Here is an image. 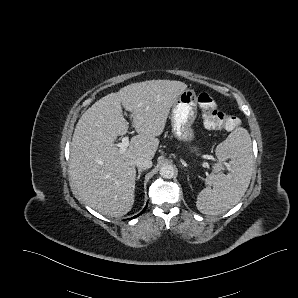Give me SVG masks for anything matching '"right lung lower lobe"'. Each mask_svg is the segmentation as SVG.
Masks as SVG:
<instances>
[{
	"instance_id": "98d812e1",
	"label": "right lung lower lobe",
	"mask_w": 298,
	"mask_h": 298,
	"mask_svg": "<svg viewBox=\"0 0 298 298\" xmlns=\"http://www.w3.org/2000/svg\"><path fill=\"white\" fill-rule=\"evenodd\" d=\"M145 209H146V207H145ZM145 209H144L141 213H143V212L145 211ZM141 213H140V214H141ZM140 214H139V215H140ZM137 216H138V215H137Z\"/></svg>"
}]
</instances>
